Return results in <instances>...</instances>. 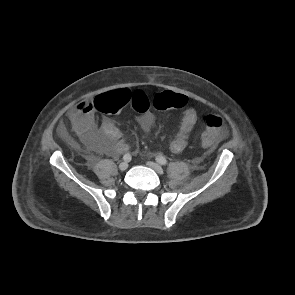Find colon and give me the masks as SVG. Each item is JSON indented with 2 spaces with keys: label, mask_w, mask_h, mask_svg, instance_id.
I'll return each instance as SVG.
<instances>
[{
  "label": "colon",
  "mask_w": 295,
  "mask_h": 295,
  "mask_svg": "<svg viewBox=\"0 0 295 295\" xmlns=\"http://www.w3.org/2000/svg\"><path fill=\"white\" fill-rule=\"evenodd\" d=\"M187 104V97L171 91L156 93L150 98L144 92H131L127 89L113 90L98 95L92 101L94 109L103 113H116L126 106H131L136 112L144 114L151 106L158 110L180 109ZM205 127L200 137L204 147L212 146L221 136L224 128L223 119L215 114L205 117Z\"/></svg>",
  "instance_id": "colon-1"
}]
</instances>
